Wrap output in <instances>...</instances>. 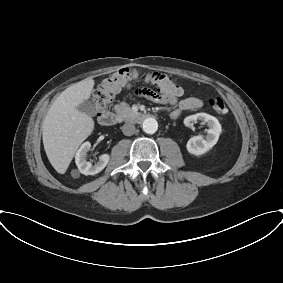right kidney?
<instances>
[{
  "mask_svg": "<svg viewBox=\"0 0 283 283\" xmlns=\"http://www.w3.org/2000/svg\"><path fill=\"white\" fill-rule=\"evenodd\" d=\"M90 148V142H85L81 145L75 155V163L78 170L84 175H95L101 172L106 167L110 159L108 154H103L99 157L98 162L92 165L91 162L86 161L87 152Z\"/></svg>",
  "mask_w": 283,
  "mask_h": 283,
  "instance_id": "obj_1",
  "label": "right kidney"
}]
</instances>
